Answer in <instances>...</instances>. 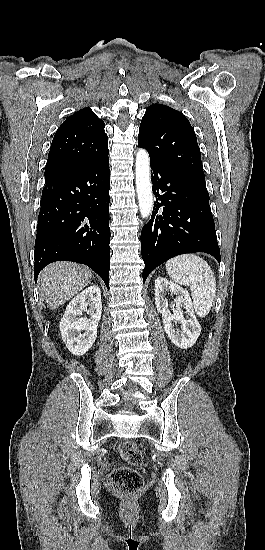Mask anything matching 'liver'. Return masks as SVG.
Returning a JSON list of instances; mask_svg holds the SVG:
<instances>
[{
	"label": "liver",
	"mask_w": 265,
	"mask_h": 550,
	"mask_svg": "<svg viewBox=\"0 0 265 550\" xmlns=\"http://www.w3.org/2000/svg\"><path fill=\"white\" fill-rule=\"evenodd\" d=\"M91 270L71 262H55L40 273V288L50 309H56L74 297L91 280Z\"/></svg>",
	"instance_id": "6515ba94"
}]
</instances>
